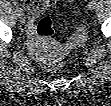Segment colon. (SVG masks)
<instances>
[{
  "instance_id": "5ec220e1",
  "label": "colon",
  "mask_w": 111,
  "mask_h": 106,
  "mask_svg": "<svg viewBox=\"0 0 111 106\" xmlns=\"http://www.w3.org/2000/svg\"><path fill=\"white\" fill-rule=\"evenodd\" d=\"M36 33L42 42L40 45L45 47L50 45L52 47L51 56L52 58L45 62V69L49 72H55L66 63V60L62 58L63 49L60 47H55L54 44L50 41L51 36L54 33V24L51 18L42 17L37 24Z\"/></svg>"
}]
</instances>
